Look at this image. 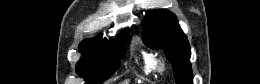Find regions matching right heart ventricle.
<instances>
[{
    "instance_id": "1",
    "label": "right heart ventricle",
    "mask_w": 260,
    "mask_h": 84,
    "mask_svg": "<svg viewBox=\"0 0 260 84\" xmlns=\"http://www.w3.org/2000/svg\"><path fill=\"white\" fill-rule=\"evenodd\" d=\"M138 60L145 73L155 71L158 67L156 57L149 51H141Z\"/></svg>"
}]
</instances>
